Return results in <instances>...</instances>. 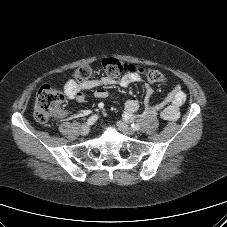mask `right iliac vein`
<instances>
[{
    "mask_svg": "<svg viewBox=\"0 0 227 227\" xmlns=\"http://www.w3.org/2000/svg\"><path fill=\"white\" fill-rule=\"evenodd\" d=\"M89 129H90V125H88L87 123L83 124L82 127H81V130H80L81 135L88 134Z\"/></svg>",
    "mask_w": 227,
    "mask_h": 227,
    "instance_id": "1",
    "label": "right iliac vein"
}]
</instances>
